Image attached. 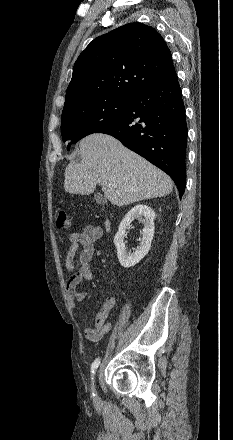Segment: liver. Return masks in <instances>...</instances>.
Returning <instances> with one entry per match:
<instances>
[{
    "label": "liver",
    "instance_id": "6515ba94",
    "mask_svg": "<svg viewBox=\"0 0 233 440\" xmlns=\"http://www.w3.org/2000/svg\"><path fill=\"white\" fill-rule=\"evenodd\" d=\"M79 148L81 161H71L65 169L64 188L68 193L89 195L100 184L111 204L125 206L163 197L173 189L166 173L110 135H88Z\"/></svg>",
    "mask_w": 233,
    "mask_h": 440
}]
</instances>
